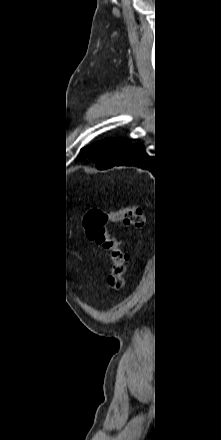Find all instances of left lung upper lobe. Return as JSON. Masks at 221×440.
<instances>
[{
	"label": "left lung upper lobe",
	"mask_w": 221,
	"mask_h": 440,
	"mask_svg": "<svg viewBox=\"0 0 221 440\" xmlns=\"http://www.w3.org/2000/svg\"><path fill=\"white\" fill-rule=\"evenodd\" d=\"M130 145L126 139H108L83 148L81 152L91 158L98 169H106L122 159Z\"/></svg>",
	"instance_id": "1"
}]
</instances>
